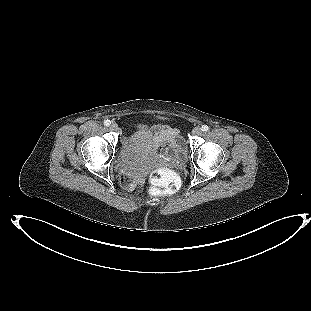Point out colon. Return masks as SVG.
Listing matches in <instances>:
<instances>
[{"instance_id":"1","label":"colon","mask_w":311,"mask_h":311,"mask_svg":"<svg viewBox=\"0 0 311 311\" xmlns=\"http://www.w3.org/2000/svg\"><path fill=\"white\" fill-rule=\"evenodd\" d=\"M152 187L150 194L152 196H168L174 194L179 187V178L175 172L169 168L154 169L149 176ZM123 184H127L128 178L123 175L121 178Z\"/></svg>"}]
</instances>
